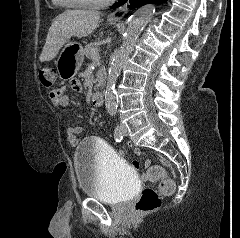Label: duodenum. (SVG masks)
<instances>
[{"mask_svg": "<svg viewBox=\"0 0 240 238\" xmlns=\"http://www.w3.org/2000/svg\"><path fill=\"white\" fill-rule=\"evenodd\" d=\"M103 101H104V93L102 89H99L93 95V103L97 106H100L103 104Z\"/></svg>", "mask_w": 240, "mask_h": 238, "instance_id": "duodenum-1", "label": "duodenum"}]
</instances>
